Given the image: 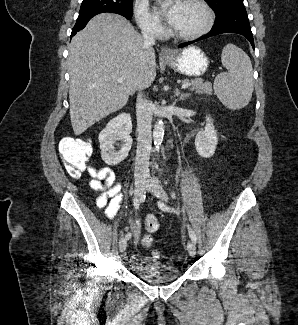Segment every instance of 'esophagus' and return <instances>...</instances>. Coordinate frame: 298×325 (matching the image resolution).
<instances>
[{
  "mask_svg": "<svg viewBox=\"0 0 298 325\" xmlns=\"http://www.w3.org/2000/svg\"><path fill=\"white\" fill-rule=\"evenodd\" d=\"M161 55L163 58H171L173 55V51L170 48L163 47L161 48Z\"/></svg>",
  "mask_w": 298,
  "mask_h": 325,
  "instance_id": "obj_1",
  "label": "esophagus"
}]
</instances>
